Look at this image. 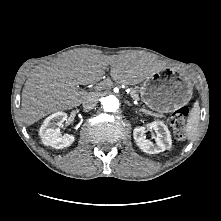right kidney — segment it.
<instances>
[{
    "label": "right kidney",
    "mask_w": 221,
    "mask_h": 221,
    "mask_svg": "<svg viewBox=\"0 0 221 221\" xmlns=\"http://www.w3.org/2000/svg\"><path fill=\"white\" fill-rule=\"evenodd\" d=\"M67 120L65 112H56L48 116L40 127L39 134L43 141L56 149H63L69 147L75 140L74 135H61L59 127Z\"/></svg>",
    "instance_id": "obj_1"
}]
</instances>
